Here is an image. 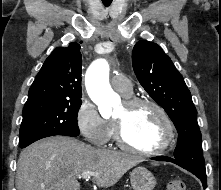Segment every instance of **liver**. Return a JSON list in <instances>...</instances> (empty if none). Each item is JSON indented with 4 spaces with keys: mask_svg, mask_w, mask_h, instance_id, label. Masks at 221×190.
Here are the masks:
<instances>
[{
    "mask_svg": "<svg viewBox=\"0 0 221 190\" xmlns=\"http://www.w3.org/2000/svg\"><path fill=\"white\" fill-rule=\"evenodd\" d=\"M142 162L136 155L94 148L76 139L52 137L25 148L18 159L17 190H80L77 177L96 172L93 181L113 186L129 169Z\"/></svg>",
    "mask_w": 221,
    "mask_h": 190,
    "instance_id": "obj_1",
    "label": "liver"
}]
</instances>
